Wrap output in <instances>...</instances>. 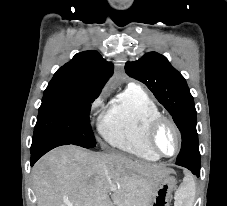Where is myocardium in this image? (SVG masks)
I'll list each match as a JSON object with an SVG mask.
<instances>
[{
  "label": "myocardium",
  "instance_id": "myocardium-1",
  "mask_svg": "<svg viewBox=\"0 0 227 206\" xmlns=\"http://www.w3.org/2000/svg\"><path fill=\"white\" fill-rule=\"evenodd\" d=\"M164 124L169 125L173 129V131L175 132L176 138H177L176 150L174 151L173 154H170V155H166V154L162 153L157 148L156 142H155L156 134H157L158 130L161 128V126H163ZM145 141H146L148 148L154 154H156L158 157L171 158V157L176 156L181 150L182 135H181L179 127L177 126V124L175 123V121L173 119H171L170 117H167L165 115L160 114V115L154 117L148 123V125L146 127V131H145Z\"/></svg>",
  "mask_w": 227,
  "mask_h": 206
}]
</instances>
